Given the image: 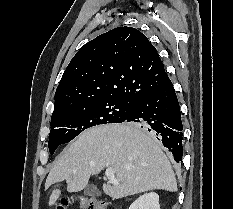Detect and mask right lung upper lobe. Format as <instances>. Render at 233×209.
Wrapping results in <instances>:
<instances>
[{"label": "right lung upper lobe", "instance_id": "1", "mask_svg": "<svg viewBox=\"0 0 233 209\" xmlns=\"http://www.w3.org/2000/svg\"><path fill=\"white\" fill-rule=\"evenodd\" d=\"M169 77L156 48L132 27H118L85 44L67 66L55 92L52 115L102 99L134 102Z\"/></svg>", "mask_w": 233, "mask_h": 209}]
</instances>
